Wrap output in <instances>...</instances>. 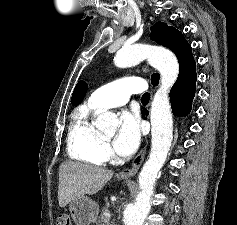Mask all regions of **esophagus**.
<instances>
[{
  "instance_id": "esophagus-1",
  "label": "esophagus",
  "mask_w": 237,
  "mask_h": 225,
  "mask_svg": "<svg viewBox=\"0 0 237 225\" xmlns=\"http://www.w3.org/2000/svg\"><path fill=\"white\" fill-rule=\"evenodd\" d=\"M147 141L145 144L142 146L138 154L135 156L132 165L130 168L123 169L120 173L119 176L122 178H130L133 177L139 170L141 164L144 161L145 155H146V148H147Z\"/></svg>"
}]
</instances>
